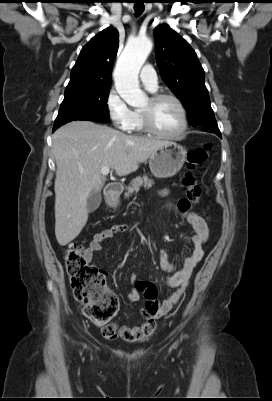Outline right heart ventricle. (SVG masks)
Listing matches in <instances>:
<instances>
[{
    "label": "right heart ventricle",
    "mask_w": 272,
    "mask_h": 401,
    "mask_svg": "<svg viewBox=\"0 0 272 401\" xmlns=\"http://www.w3.org/2000/svg\"><path fill=\"white\" fill-rule=\"evenodd\" d=\"M133 112H134L133 119H132V122H131V125H130V128L128 129V131L142 133L144 131V128L142 125L140 110H135Z\"/></svg>",
    "instance_id": "right-heart-ventricle-1"
}]
</instances>
